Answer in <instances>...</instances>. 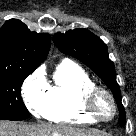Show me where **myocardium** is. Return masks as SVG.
I'll use <instances>...</instances> for the list:
<instances>
[{
    "label": "myocardium",
    "mask_w": 136,
    "mask_h": 136,
    "mask_svg": "<svg viewBox=\"0 0 136 136\" xmlns=\"http://www.w3.org/2000/svg\"><path fill=\"white\" fill-rule=\"evenodd\" d=\"M106 96L112 104V114L109 117H103L99 114L96 108L97 100L100 96ZM83 108L85 112L94 120L98 122H108L111 121L117 114V103L110 91L105 88L95 86L87 90L83 95Z\"/></svg>",
    "instance_id": "obj_1"
}]
</instances>
